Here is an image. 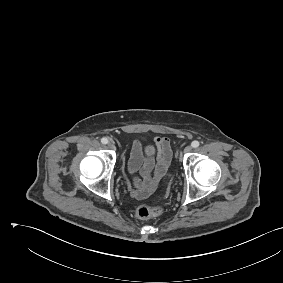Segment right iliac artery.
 Segmentation results:
<instances>
[{"label":"right iliac artery","instance_id":"1","mask_svg":"<svg viewBox=\"0 0 283 283\" xmlns=\"http://www.w3.org/2000/svg\"><path fill=\"white\" fill-rule=\"evenodd\" d=\"M101 142H102L103 144H107V143H108V139L104 137V138L101 139Z\"/></svg>","mask_w":283,"mask_h":283}]
</instances>
